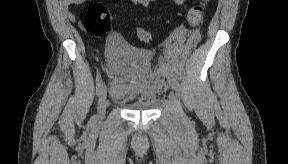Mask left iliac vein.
<instances>
[{
	"mask_svg": "<svg viewBox=\"0 0 288 164\" xmlns=\"http://www.w3.org/2000/svg\"><path fill=\"white\" fill-rule=\"evenodd\" d=\"M169 82H170L172 89L174 91L178 92L179 91V83H178L177 79L175 77H170Z\"/></svg>",
	"mask_w": 288,
	"mask_h": 164,
	"instance_id": "left-iliac-vein-1",
	"label": "left iliac vein"
}]
</instances>
